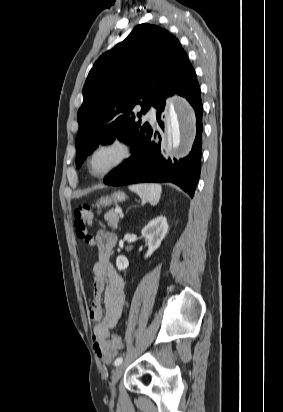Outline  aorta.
<instances>
[{
    "label": "aorta",
    "instance_id": "1",
    "mask_svg": "<svg viewBox=\"0 0 283 412\" xmlns=\"http://www.w3.org/2000/svg\"><path fill=\"white\" fill-rule=\"evenodd\" d=\"M194 133V112L186 101H180L176 109L170 111L168 145L177 151L183 139L191 138Z\"/></svg>",
    "mask_w": 283,
    "mask_h": 412
}]
</instances>
